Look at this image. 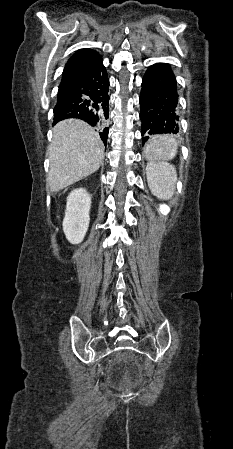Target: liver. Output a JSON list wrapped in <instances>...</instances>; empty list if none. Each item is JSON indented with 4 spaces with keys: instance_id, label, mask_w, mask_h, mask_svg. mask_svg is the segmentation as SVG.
Wrapping results in <instances>:
<instances>
[{
    "instance_id": "obj_1",
    "label": "liver",
    "mask_w": 233,
    "mask_h": 449,
    "mask_svg": "<svg viewBox=\"0 0 233 449\" xmlns=\"http://www.w3.org/2000/svg\"><path fill=\"white\" fill-rule=\"evenodd\" d=\"M48 154L46 185L58 192L96 172L104 159V146L89 124L66 119L55 125Z\"/></svg>"
}]
</instances>
